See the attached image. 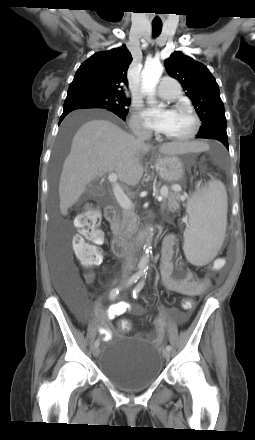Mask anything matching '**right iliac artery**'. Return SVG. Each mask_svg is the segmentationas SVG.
<instances>
[{"mask_svg":"<svg viewBox=\"0 0 255 440\" xmlns=\"http://www.w3.org/2000/svg\"><path fill=\"white\" fill-rule=\"evenodd\" d=\"M140 277H141V274H139V273H136V274L132 275V277L128 280L126 285H132L133 283H136L139 280ZM121 290H122V287H115V288H113L110 291V294H109L110 300H114ZM99 344H100V341H99V339H97L95 341V343H94V346L98 347Z\"/></svg>","mask_w":255,"mask_h":440,"instance_id":"right-iliac-artery-1","label":"right iliac artery"}]
</instances>
